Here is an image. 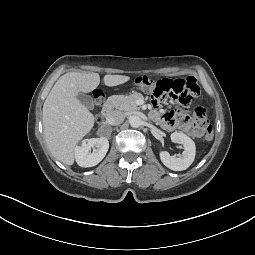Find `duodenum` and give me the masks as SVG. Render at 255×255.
Masks as SVG:
<instances>
[{"label":"duodenum","mask_w":255,"mask_h":255,"mask_svg":"<svg viewBox=\"0 0 255 255\" xmlns=\"http://www.w3.org/2000/svg\"><path fill=\"white\" fill-rule=\"evenodd\" d=\"M113 108V102L111 100L106 101L102 108L103 117H109L113 112Z\"/></svg>","instance_id":"obj_1"}]
</instances>
